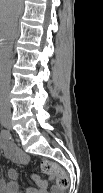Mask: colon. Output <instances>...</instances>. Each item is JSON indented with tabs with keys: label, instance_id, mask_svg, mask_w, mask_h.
<instances>
[{
	"label": "colon",
	"instance_id": "5ec220e1",
	"mask_svg": "<svg viewBox=\"0 0 103 193\" xmlns=\"http://www.w3.org/2000/svg\"><path fill=\"white\" fill-rule=\"evenodd\" d=\"M41 169L45 174L53 175L56 178V182L59 187L67 188L69 185V179L67 173L58 164L45 160L41 164Z\"/></svg>",
	"mask_w": 103,
	"mask_h": 193
}]
</instances>
